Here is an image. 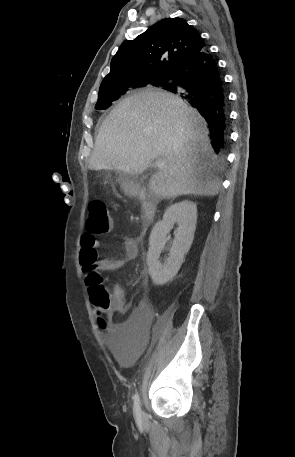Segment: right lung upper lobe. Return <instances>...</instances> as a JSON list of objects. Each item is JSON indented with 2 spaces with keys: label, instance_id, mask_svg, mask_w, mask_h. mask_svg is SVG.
Instances as JSON below:
<instances>
[{
  "label": "right lung upper lobe",
  "instance_id": "1",
  "mask_svg": "<svg viewBox=\"0 0 295 457\" xmlns=\"http://www.w3.org/2000/svg\"><path fill=\"white\" fill-rule=\"evenodd\" d=\"M204 46L197 30L184 19H163L134 40L121 44L99 92L127 89L151 78L173 76L180 65Z\"/></svg>",
  "mask_w": 295,
  "mask_h": 457
}]
</instances>
